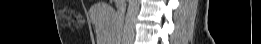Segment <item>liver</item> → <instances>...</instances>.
Here are the masks:
<instances>
[{"label":"liver","mask_w":261,"mask_h":44,"mask_svg":"<svg viewBox=\"0 0 261 44\" xmlns=\"http://www.w3.org/2000/svg\"><path fill=\"white\" fill-rule=\"evenodd\" d=\"M90 13L96 24H119L116 14H97L114 13V8L107 5L92 7ZM93 30H98L97 42L100 44H117V41L111 40H120L119 25H93Z\"/></svg>","instance_id":"liver-1"}]
</instances>
